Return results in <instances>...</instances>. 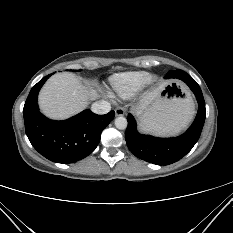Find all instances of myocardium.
Masks as SVG:
<instances>
[{
	"instance_id": "f54148a6",
	"label": "myocardium",
	"mask_w": 233,
	"mask_h": 233,
	"mask_svg": "<svg viewBox=\"0 0 233 233\" xmlns=\"http://www.w3.org/2000/svg\"><path fill=\"white\" fill-rule=\"evenodd\" d=\"M153 80H154V79L150 77L149 82H153Z\"/></svg>"
}]
</instances>
